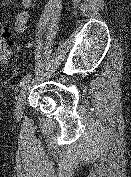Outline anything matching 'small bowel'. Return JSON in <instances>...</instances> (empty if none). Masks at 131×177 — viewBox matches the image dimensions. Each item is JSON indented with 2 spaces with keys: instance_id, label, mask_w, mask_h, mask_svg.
Instances as JSON below:
<instances>
[{
  "instance_id": "c3829d8e",
  "label": "small bowel",
  "mask_w": 131,
  "mask_h": 177,
  "mask_svg": "<svg viewBox=\"0 0 131 177\" xmlns=\"http://www.w3.org/2000/svg\"><path fill=\"white\" fill-rule=\"evenodd\" d=\"M21 7L23 8L15 17V31L17 33H23L26 30L29 20L28 8L32 4V0H19Z\"/></svg>"
}]
</instances>
